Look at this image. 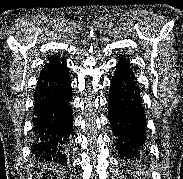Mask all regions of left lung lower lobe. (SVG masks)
<instances>
[{"label": "left lung lower lobe", "mask_w": 183, "mask_h": 179, "mask_svg": "<svg viewBox=\"0 0 183 179\" xmlns=\"http://www.w3.org/2000/svg\"><path fill=\"white\" fill-rule=\"evenodd\" d=\"M109 121L120 157L140 156L146 140V118L137 78L125 56L119 58L108 98Z\"/></svg>", "instance_id": "obj_1"}]
</instances>
